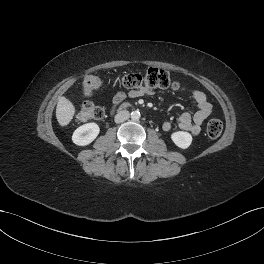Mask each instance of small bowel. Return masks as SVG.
<instances>
[{"mask_svg": "<svg viewBox=\"0 0 264 264\" xmlns=\"http://www.w3.org/2000/svg\"><path fill=\"white\" fill-rule=\"evenodd\" d=\"M188 92L193 97L198 105L199 110L191 114L189 112H184L178 119V126L181 130L187 131L192 135L196 136L200 134L203 122L212 113V105L208 101L207 96L204 92L197 89H188ZM145 89L132 90L129 92V96L132 98L140 97L146 94ZM126 95L123 92H117L111 101V110H115L125 99ZM164 131H170L172 124L170 122H165L162 125Z\"/></svg>", "mask_w": 264, "mask_h": 264, "instance_id": "small-bowel-1", "label": "small bowel"}]
</instances>
